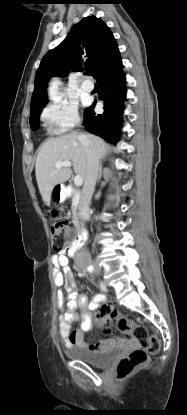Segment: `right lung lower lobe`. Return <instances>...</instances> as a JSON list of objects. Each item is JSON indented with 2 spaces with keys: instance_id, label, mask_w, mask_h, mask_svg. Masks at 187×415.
I'll list each match as a JSON object with an SVG mask.
<instances>
[{
  "instance_id": "right-lung-lower-lobe-1",
  "label": "right lung lower lobe",
  "mask_w": 187,
  "mask_h": 415,
  "mask_svg": "<svg viewBox=\"0 0 187 415\" xmlns=\"http://www.w3.org/2000/svg\"><path fill=\"white\" fill-rule=\"evenodd\" d=\"M101 88L100 100L104 101V112L95 115L96 101L85 110L84 123L86 130L104 138L107 142L117 143L121 129V120L126 99L125 75L118 53L113 60L95 77Z\"/></svg>"
}]
</instances>
